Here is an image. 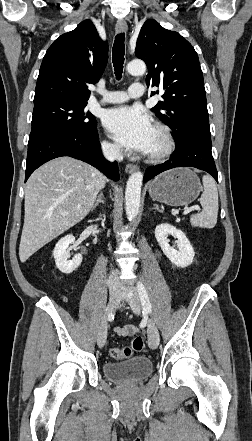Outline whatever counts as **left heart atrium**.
Here are the masks:
<instances>
[{"mask_svg": "<svg viewBox=\"0 0 252 441\" xmlns=\"http://www.w3.org/2000/svg\"><path fill=\"white\" fill-rule=\"evenodd\" d=\"M103 124L111 137L128 150L147 153L153 142L155 128L149 115L138 107L112 109Z\"/></svg>", "mask_w": 252, "mask_h": 441, "instance_id": "39dd6f15", "label": "left heart atrium"}]
</instances>
